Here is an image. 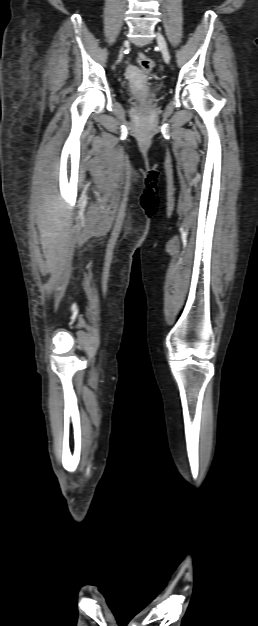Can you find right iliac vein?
<instances>
[{"label":"right iliac vein","instance_id":"1","mask_svg":"<svg viewBox=\"0 0 258 626\" xmlns=\"http://www.w3.org/2000/svg\"><path fill=\"white\" fill-rule=\"evenodd\" d=\"M126 44H128V42H127V41H124V45H126ZM122 56H123V49L121 50V52H120V54H119V60H121V59H122Z\"/></svg>","mask_w":258,"mask_h":626}]
</instances>
